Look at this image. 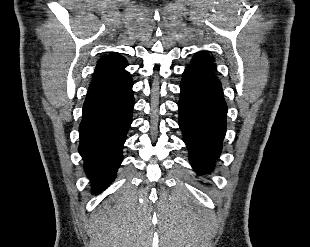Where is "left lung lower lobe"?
Masks as SVG:
<instances>
[{
    "label": "left lung lower lobe",
    "instance_id": "left-lung-lower-lobe-1",
    "mask_svg": "<svg viewBox=\"0 0 310 247\" xmlns=\"http://www.w3.org/2000/svg\"><path fill=\"white\" fill-rule=\"evenodd\" d=\"M179 126L198 174L210 172L221 153L227 105L215 73L188 66L180 84Z\"/></svg>",
    "mask_w": 310,
    "mask_h": 247
}]
</instances>
